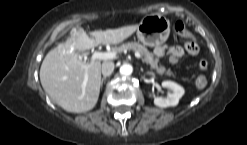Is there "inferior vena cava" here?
Listing matches in <instances>:
<instances>
[{"label": "inferior vena cava", "instance_id": "obj_1", "mask_svg": "<svg viewBox=\"0 0 247 145\" xmlns=\"http://www.w3.org/2000/svg\"><path fill=\"white\" fill-rule=\"evenodd\" d=\"M114 71V63L112 61H105L102 64V74L104 77L110 76Z\"/></svg>", "mask_w": 247, "mask_h": 145}]
</instances>
